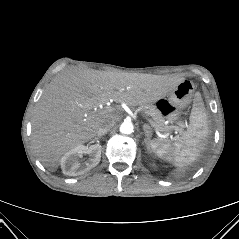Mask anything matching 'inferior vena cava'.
Returning a JSON list of instances; mask_svg holds the SVG:
<instances>
[{
	"mask_svg": "<svg viewBox=\"0 0 239 239\" xmlns=\"http://www.w3.org/2000/svg\"><path fill=\"white\" fill-rule=\"evenodd\" d=\"M114 126L113 122L107 121L104 122L103 124H101V126L99 127L97 134L98 135H104L106 134L112 127Z\"/></svg>",
	"mask_w": 239,
	"mask_h": 239,
	"instance_id": "obj_1",
	"label": "inferior vena cava"
}]
</instances>
